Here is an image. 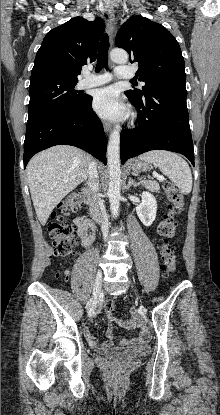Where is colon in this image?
Masks as SVG:
<instances>
[{
  "label": "colon",
  "mask_w": 220,
  "mask_h": 415,
  "mask_svg": "<svg viewBox=\"0 0 220 415\" xmlns=\"http://www.w3.org/2000/svg\"><path fill=\"white\" fill-rule=\"evenodd\" d=\"M163 188L170 204L168 213L164 216L158 226V233L164 238L161 246V257L163 261L164 271L170 275L176 270V255L173 246L168 242L176 233L175 216L180 214L184 207V199L182 194L175 186L166 181ZM86 202V197L82 192L71 193L59 205L58 212L52 214V221L49 224V234L53 240L56 255L60 257H68L72 254V250L76 245L77 230L65 221V216L70 212H76L81 209ZM104 310L108 314H112L116 310L114 300H108L105 303ZM147 334H143L145 340Z\"/></svg>",
  "instance_id": "1"
}]
</instances>
